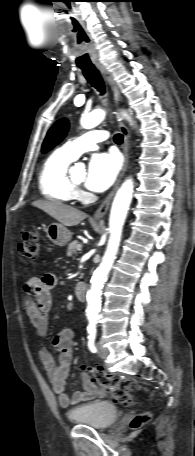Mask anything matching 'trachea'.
<instances>
[{
    "label": "trachea",
    "instance_id": "obj_1",
    "mask_svg": "<svg viewBox=\"0 0 195 456\" xmlns=\"http://www.w3.org/2000/svg\"><path fill=\"white\" fill-rule=\"evenodd\" d=\"M85 78L87 81L94 87L96 88L101 95H104L105 93V85L104 82L100 76L99 71L96 69L94 66H88V67H80ZM114 141L117 144H121L123 142V135L118 133L114 135Z\"/></svg>",
    "mask_w": 195,
    "mask_h": 456
}]
</instances>
